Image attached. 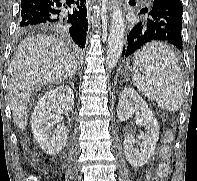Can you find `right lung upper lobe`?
I'll return each mask as SVG.
<instances>
[{
	"label": "right lung upper lobe",
	"instance_id": "1",
	"mask_svg": "<svg viewBox=\"0 0 197 181\" xmlns=\"http://www.w3.org/2000/svg\"><path fill=\"white\" fill-rule=\"evenodd\" d=\"M36 28H33V27H26V28H21L20 30L25 32V31H32V30H35Z\"/></svg>",
	"mask_w": 197,
	"mask_h": 181
}]
</instances>
